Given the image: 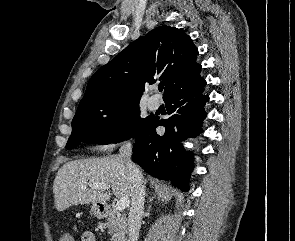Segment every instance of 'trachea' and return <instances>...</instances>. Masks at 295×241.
Here are the masks:
<instances>
[{
  "label": "trachea",
  "instance_id": "1",
  "mask_svg": "<svg viewBox=\"0 0 295 241\" xmlns=\"http://www.w3.org/2000/svg\"><path fill=\"white\" fill-rule=\"evenodd\" d=\"M158 90H159L160 92H162V91H163V86H158Z\"/></svg>",
  "mask_w": 295,
  "mask_h": 241
}]
</instances>
